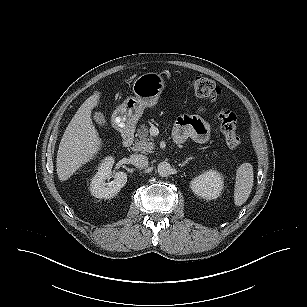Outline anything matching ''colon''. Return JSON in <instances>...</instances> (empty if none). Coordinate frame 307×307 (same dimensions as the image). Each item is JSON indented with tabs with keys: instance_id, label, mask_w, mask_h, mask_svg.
<instances>
[{
	"instance_id": "5ec220e1",
	"label": "colon",
	"mask_w": 307,
	"mask_h": 307,
	"mask_svg": "<svg viewBox=\"0 0 307 307\" xmlns=\"http://www.w3.org/2000/svg\"><path fill=\"white\" fill-rule=\"evenodd\" d=\"M192 92L200 98L216 101L220 95V88L207 77L195 76L189 81ZM219 129L225 138L227 146L237 149L242 145V138L236 131V116L227 108L220 109L217 114Z\"/></svg>"
}]
</instances>
